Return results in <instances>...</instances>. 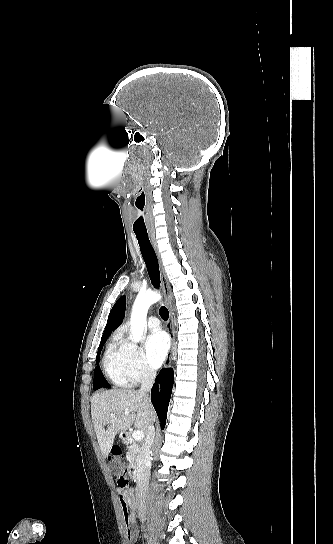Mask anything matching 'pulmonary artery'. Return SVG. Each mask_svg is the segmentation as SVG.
Masks as SVG:
<instances>
[{"instance_id":"1","label":"pulmonary artery","mask_w":333,"mask_h":544,"mask_svg":"<svg viewBox=\"0 0 333 544\" xmlns=\"http://www.w3.org/2000/svg\"><path fill=\"white\" fill-rule=\"evenodd\" d=\"M147 325H148L149 329H151L152 331H159V329H160L159 319L157 317H154V316L149 317Z\"/></svg>"}]
</instances>
